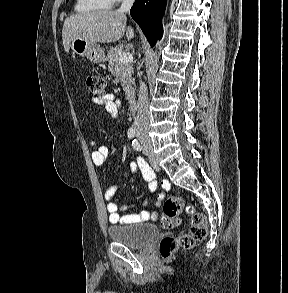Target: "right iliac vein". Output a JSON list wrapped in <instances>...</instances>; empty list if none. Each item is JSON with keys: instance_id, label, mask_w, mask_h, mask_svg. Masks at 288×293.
<instances>
[{"instance_id": "1", "label": "right iliac vein", "mask_w": 288, "mask_h": 293, "mask_svg": "<svg viewBox=\"0 0 288 293\" xmlns=\"http://www.w3.org/2000/svg\"><path fill=\"white\" fill-rule=\"evenodd\" d=\"M151 159H152V161H153L154 163L156 162L155 159H154L153 157H152Z\"/></svg>"}]
</instances>
